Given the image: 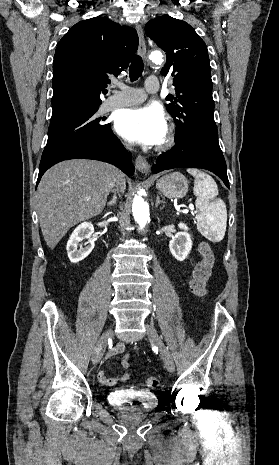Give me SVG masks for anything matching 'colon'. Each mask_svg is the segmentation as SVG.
<instances>
[{"instance_id":"obj_1","label":"colon","mask_w":279,"mask_h":465,"mask_svg":"<svg viewBox=\"0 0 279 465\" xmlns=\"http://www.w3.org/2000/svg\"><path fill=\"white\" fill-rule=\"evenodd\" d=\"M199 253L201 260L195 266L190 286L195 295L204 297L207 294V282L212 274L215 256L208 243L200 244ZM146 384L150 388H157L160 385V381L156 377H149L146 380Z\"/></svg>"}]
</instances>
